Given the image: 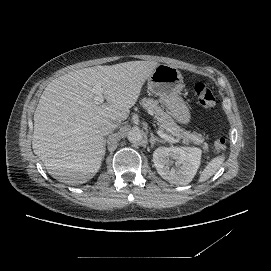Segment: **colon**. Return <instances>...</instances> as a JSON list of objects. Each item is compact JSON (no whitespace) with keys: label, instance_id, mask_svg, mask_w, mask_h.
Returning a JSON list of instances; mask_svg holds the SVG:
<instances>
[{"label":"colon","instance_id":"colon-1","mask_svg":"<svg viewBox=\"0 0 271 271\" xmlns=\"http://www.w3.org/2000/svg\"><path fill=\"white\" fill-rule=\"evenodd\" d=\"M193 99L195 103L204 110H213L215 107V98L211 89L204 83H197L193 89ZM227 141L224 137H218L215 140V147L217 150H224Z\"/></svg>","mask_w":271,"mask_h":271}]
</instances>
